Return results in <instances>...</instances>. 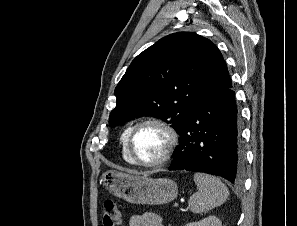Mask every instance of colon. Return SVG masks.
<instances>
[{
  "mask_svg": "<svg viewBox=\"0 0 297 226\" xmlns=\"http://www.w3.org/2000/svg\"><path fill=\"white\" fill-rule=\"evenodd\" d=\"M103 226H119L121 217L113 200H106L102 207Z\"/></svg>",
  "mask_w": 297,
  "mask_h": 226,
  "instance_id": "obj_1",
  "label": "colon"
}]
</instances>
